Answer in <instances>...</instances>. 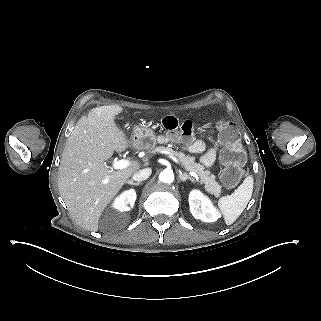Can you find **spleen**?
I'll return each mask as SVG.
<instances>
[{
	"label": "spleen",
	"mask_w": 321,
	"mask_h": 321,
	"mask_svg": "<svg viewBox=\"0 0 321 321\" xmlns=\"http://www.w3.org/2000/svg\"><path fill=\"white\" fill-rule=\"evenodd\" d=\"M253 182V177L247 176L234 193L219 199L218 207L226 225L233 224L246 208L252 196Z\"/></svg>",
	"instance_id": "3e777b00"
}]
</instances>
